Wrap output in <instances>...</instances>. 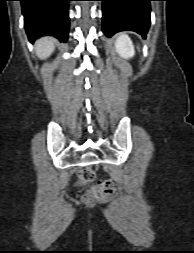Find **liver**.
Instances as JSON below:
<instances>
[{"mask_svg":"<svg viewBox=\"0 0 194 253\" xmlns=\"http://www.w3.org/2000/svg\"><path fill=\"white\" fill-rule=\"evenodd\" d=\"M55 49L54 40L50 37H43L36 42L35 52L40 59L49 57Z\"/></svg>","mask_w":194,"mask_h":253,"instance_id":"1","label":"liver"}]
</instances>
